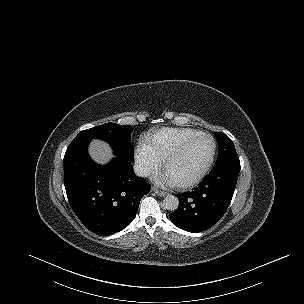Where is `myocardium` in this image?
I'll list each match as a JSON object with an SVG mask.
<instances>
[{
    "label": "myocardium",
    "mask_w": 304,
    "mask_h": 304,
    "mask_svg": "<svg viewBox=\"0 0 304 304\" xmlns=\"http://www.w3.org/2000/svg\"><path fill=\"white\" fill-rule=\"evenodd\" d=\"M201 138H209L212 141L213 144V148H212V153L210 155V158L208 159L207 163L205 164V166L203 167V169L192 179L187 180V181H182V182H175L174 186H176L177 188H188V187H192L194 185H196L197 183H199L208 173V171L210 170L214 159H215V155H216V149H217V144H216V140L215 138L207 133H200L197 136L189 139L188 141L184 142L183 144H181L179 147H177L174 151H172L166 158L165 162H164V171L165 174H167L168 168L170 163L177 158L180 154H182L190 145H192L194 142L198 141Z\"/></svg>",
    "instance_id": "f54148a6"
}]
</instances>
